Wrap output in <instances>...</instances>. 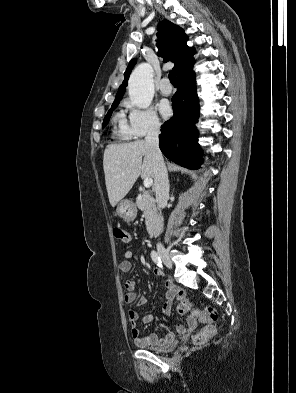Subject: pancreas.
<instances>
[{
	"instance_id": "obj_1",
	"label": "pancreas",
	"mask_w": 296,
	"mask_h": 393,
	"mask_svg": "<svg viewBox=\"0 0 296 393\" xmlns=\"http://www.w3.org/2000/svg\"><path fill=\"white\" fill-rule=\"evenodd\" d=\"M136 206L143 211L148 231H151L157 220V209L154 198L149 191L143 190L136 198Z\"/></svg>"
}]
</instances>
